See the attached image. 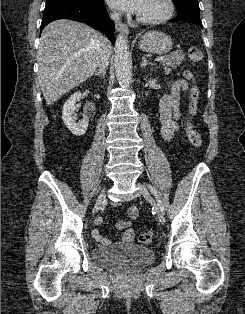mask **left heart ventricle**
<instances>
[{"label": "left heart ventricle", "instance_id": "left-heart-ventricle-1", "mask_svg": "<svg viewBox=\"0 0 245 314\" xmlns=\"http://www.w3.org/2000/svg\"><path fill=\"white\" fill-rule=\"evenodd\" d=\"M165 10L163 0H147L141 13L142 17L151 18L162 14Z\"/></svg>", "mask_w": 245, "mask_h": 314}]
</instances>
